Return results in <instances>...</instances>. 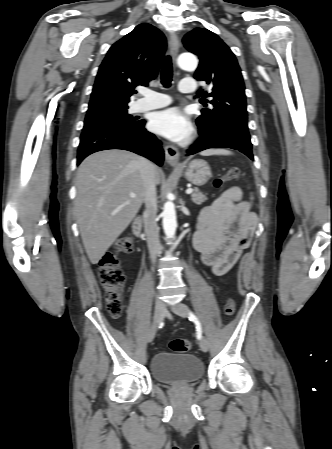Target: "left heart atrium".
Wrapping results in <instances>:
<instances>
[{
    "instance_id": "1",
    "label": "left heart atrium",
    "mask_w": 332,
    "mask_h": 449,
    "mask_svg": "<svg viewBox=\"0 0 332 449\" xmlns=\"http://www.w3.org/2000/svg\"><path fill=\"white\" fill-rule=\"evenodd\" d=\"M149 126L153 132L174 141L186 139L191 132L189 121L177 108L154 113Z\"/></svg>"
}]
</instances>
